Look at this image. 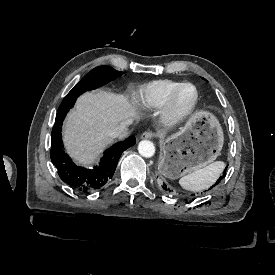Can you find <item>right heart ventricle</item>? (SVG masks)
<instances>
[{"mask_svg": "<svg viewBox=\"0 0 275 275\" xmlns=\"http://www.w3.org/2000/svg\"><path fill=\"white\" fill-rule=\"evenodd\" d=\"M178 82L157 80L149 83L140 90L137 103L143 108H160L165 105Z\"/></svg>", "mask_w": 275, "mask_h": 275, "instance_id": "e07e8e85", "label": "right heart ventricle"}]
</instances>
